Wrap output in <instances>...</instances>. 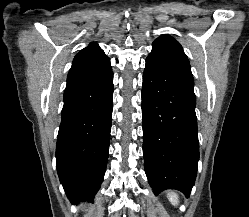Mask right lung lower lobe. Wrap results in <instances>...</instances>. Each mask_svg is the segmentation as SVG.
I'll use <instances>...</instances> for the list:
<instances>
[{
    "label": "right lung lower lobe",
    "instance_id": "98d812e1",
    "mask_svg": "<svg viewBox=\"0 0 249 217\" xmlns=\"http://www.w3.org/2000/svg\"><path fill=\"white\" fill-rule=\"evenodd\" d=\"M113 72L105 53L73 61L56 145L60 182L72 202L93 200L106 170Z\"/></svg>",
    "mask_w": 249,
    "mask_h": 217
}]
</instances>
